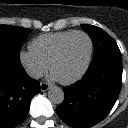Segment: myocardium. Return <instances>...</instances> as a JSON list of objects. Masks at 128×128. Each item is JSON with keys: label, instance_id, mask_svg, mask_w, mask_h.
Segmentation results:
<instances>
[{"label": "myocardium", "instance_id": "1", "mask_svg": "<svg viewBox=\"0 0 128 128\" xmlns=\"http://www.w3.org/2000/svg\"><path fill=\"white\" fill-rule=\"evenodd\" d=\"M75 35H83L87 38L88 43H89L88 56H87V59L83 65L82 69L76 75H74L73 77H71L69 79H65V80L57 79L63 85H70V84H73V83L77 82L78 80H80L87 72V70L91 64V61H92L93 40H92L91 36L85 31L76 30V31H73L69 36H67L59 45L55 55L53 56L52 60L49 63L50 72L53 74V68L56 65V63L60 60L67 42Z\"/></svg>", "mask_w": 128, "mask_h": 128}]
</instances>
